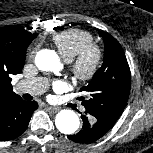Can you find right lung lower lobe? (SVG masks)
<instances>
[{
    "mask_svg": "<svg viewBox=\"0 0 153 153\" xmlns=\"http://www.w3.org/2000/svg\"><path fill=\"white\" fill-rule=\"evenodd\" d=\"M38 108L35 101L21 97L10 99L0 106V141L19 137L27 128L31 115Z\"/></svg>",
    "mask_w": 153,
    "mask_h": 153,
    "instance_id": "1",
    "label": "right lung lower lobe"
}]
</instances>
